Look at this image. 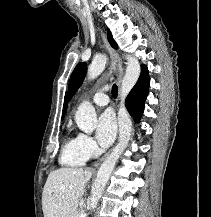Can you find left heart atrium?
I'll return each mask as SVG.
<instances>
[{
	"mask_svg": "<svg viewBox=\"0 0 211 217\" xmlns=\"http://www.w3.org/2000/svg\"><path fill=\"white\" fill-rule=\"evenodd\" d=\"M116 121L112 112H104L97 123L96 138L99 144L103 147L109 146L116 135Z\"/></svg>",
	"mask_w": 211,
	"mask_h": 217,
	"instance_id": "left-heart-atrium-1",
	"label": "left heart atrium"
}]
</instances>
